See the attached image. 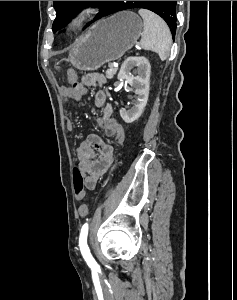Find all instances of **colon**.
<instances>
[{"label": "colon", "mask_w": 237, "mask_h": 300, "mask_svg": "<svg viewBox=\"0 0 237 300\" xmlns=\"http://www.w3.org/2000/svg\"><path fill=\"white\" fill-rule=\"evenodd\" d=\"M72 87L77 93H82L84 89L83 85L78 82L72 84ZM73 181H74V191L77 199L79 200L84 199L85 198L84 176L78 168H74L73 170Z\"/></svg>", "instance_id": "obj_1"}]
</instances>
